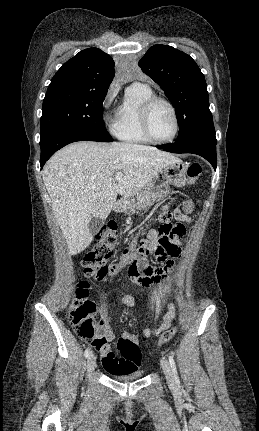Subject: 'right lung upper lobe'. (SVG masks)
Instances as JSON below:
<instances>
[{"label":"right lung upper lobe","mask_w":259,"mask_h":431,"mask_svg":"<svg viewBox=\"0 0 259 431\" xmlns=\"http://www.w3.org/2000/svg\"><path fill=\"white\" fill-rule=\"evenodd\" d=\"M114 75L112 57L98 48H88L62 65L52 78L48 91L70 89L103 93L107 92Z\"/></svg>","instance_id":"obj_1"}]
</instances>
